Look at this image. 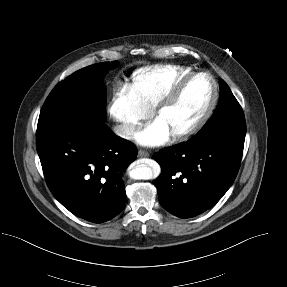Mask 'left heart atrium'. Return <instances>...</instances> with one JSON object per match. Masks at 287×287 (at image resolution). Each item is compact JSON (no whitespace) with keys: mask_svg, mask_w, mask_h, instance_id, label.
I'll use <instances>...</instances> for the list:
<instances>
[{"mask_svg":"<svg viewBox=\"0 0 287 287\" xmlns=\"http://www.w3.org/2000/svg\"><path fill=\"white\" fill-rule=\"evenodd\" d=\"M169 130L158 120L150 123L136 137L137 141L145 146H157L169 138Z\"/></svg>","mask_w":287,"mask_h":287,"instance_id":"1","label":"left heart atrium"}]
</instances>
